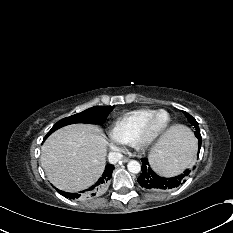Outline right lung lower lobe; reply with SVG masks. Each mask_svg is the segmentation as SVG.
I'll list each match as a JSON object with an SVG mask.
<instances>
[{"label": "right lung lower lobe", "instance_id": "1", "mask_svg": "<svg viewBox=\"0 0 233 233\" xmlns=\"http://www.w3.org/2000/svg\"><path fill=\"white\" fill-rule=\"evenodd\" d=\"M114 170V165H107L105 167V171L101 178L92 185L89 189L85 190L81 193H68L64 191L57 190L61 195L65 196L69 199H78L79 197H89V196H95L96 194L101 193L107 186L111 176L112 172Z\"/></svg>", "mask_w": 233, "mask_h": 233}]
</instances>
